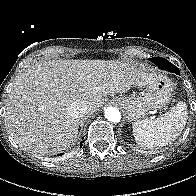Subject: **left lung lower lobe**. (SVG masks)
I'll return each mask as SVG.
<instances>
[{
    "mask_svg": "<svg viewBox=\"0 0 196 196\" xmlns=\"http://www.w3.org/2000/svg\"><path fill=\"white\" fill-rule=\"evenodd\" d=\"M160 68V67H159ZM176 74L180 75V72H177Z\"/></svg>",
    "mask_w": 196,
    "mask_h": 196,
    "instance_id": "obj_1",
    "label": "left lung lower lobe"
}]
</instances>
